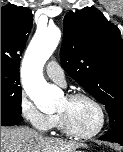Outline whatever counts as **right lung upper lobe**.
Here are the masks:
<instances>
[{"label": "right lung upper lobe", "instance_id": "obj_1", "mask_svg": "<svg viewBox=\"0 0 123 152\" xmlns=\"http://www.w3.org/2000/svg\"><path fill=\"white\" fill-rule=\"evenodd\" d=\"M31 10L8 4L1 7V70L19 72L20 56L32 28Z\"/></svg>", "mask_w": 123, "mask_h": 152}]
</instances>
